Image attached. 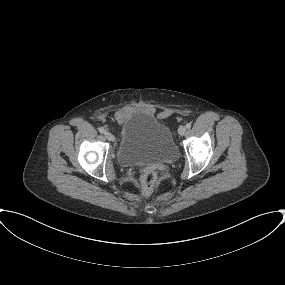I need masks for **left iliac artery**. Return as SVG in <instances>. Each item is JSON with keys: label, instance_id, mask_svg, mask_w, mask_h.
Masks as SVG:
<instances>
[{"label": "left iliac artery", "instance_id": "1", "mask_svg": "<svg viewBox=\"0 0 285 285\" xmlns=\"http://www.w3.org/2000/svg\"><path fill=\"white\" fill-rule=\"evenodd\" d=\"M190 127H191V123H187V124H186V128L189 129Z\"/></svg>", "mask_w": 285, "mask_h": 285}]
</instances>
